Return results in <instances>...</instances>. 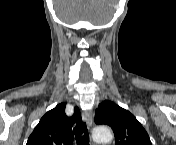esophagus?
<instances>
[{
	"label": "esophagus",
	"instance_id": "obj_1",
	"mask_svg": "<svg viewBox=\"0 0 176 145\" xmlns=\"http://www.w3.org/2000/svg\"><path fill=\"white\" fill-rule=\"evenodd\" d=\"M82 117L84 121L86 122L87 126L90 128L93 123L92 114L89 111H83Z\"/></svg>",
	"mask_w": 176,
	"mask_h": 145
}]
</instances>
